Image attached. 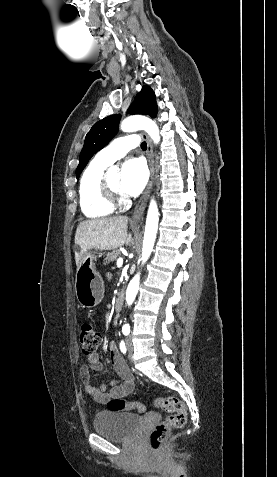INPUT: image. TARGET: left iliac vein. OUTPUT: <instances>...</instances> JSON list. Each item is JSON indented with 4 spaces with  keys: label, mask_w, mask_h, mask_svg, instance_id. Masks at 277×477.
<instances>
[{
    "label": "left iliac vein",
    "mask_w": 277,
    "mask_h": 477,
    "mask_svg": "<svg viewBox=\"0 0 277 477\" xmlns=\"http://www.w3.org/2000/svg\"><path fill=\"white\" fill-rule=\"evenodd\" d=\"M126 347L129 351L130 355H132L133 347H132V342H131L130 338H127V340H126Z\"/></svg>",
    "instance_id": "4c4485c4"
}]
</instances>
